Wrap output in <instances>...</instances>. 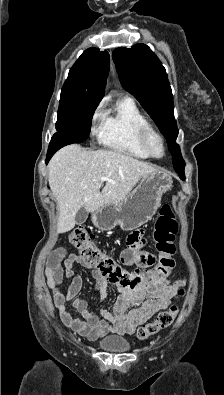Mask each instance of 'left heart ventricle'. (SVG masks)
Masks as SVG:
<instances>
[{
  "instance_id": "obj_1",
  "label": "left heart ventricle",
  "mask_w": 224,
  "mask_h": 395,
  "mask_svg": "<svg viewBox=\"0 0 224 395\" xmlns=\"http://www.w3.org/2000/svg\"><path fill=\"white\" fill-rule=\"evenodd\" d=\"M150 146L156 155H159V156L162 155L163 148H162L161 142L159 141L158 138L152 137L150 140Z\"/></svg>"
}]
</instances>
